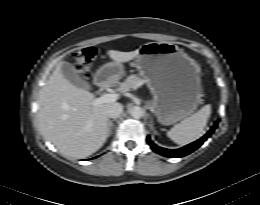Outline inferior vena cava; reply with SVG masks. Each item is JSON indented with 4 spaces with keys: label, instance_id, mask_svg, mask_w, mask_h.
<instances>
[{
    "label": "inferior vena cava",
    "instance_id": "inferior-vena-cava-1",
    "mask_svg": "<svg viewBox=\"0 0 260 205\" xmlns=\"http://www.w3.org/2000/svg\"><path fill=\"white\" fill-rule=\"evenodd\" d=\"M122 111L123 106L120 103H114L108 107L107 116L109 118H117L121 115Z\"/></svg>",
    "mask_w": 260,
    "mask_h": 205
}]
</instances>
